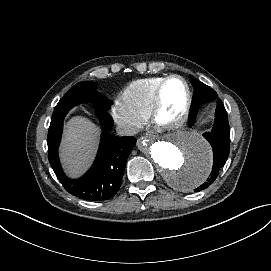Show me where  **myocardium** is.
<instances>
[{"mask_svg":"<svg viewBox=\"0 0 271 271\" xmlns=\"http://www.w3.org/2000/svg\"><path fill=\"white\" fill-rule=\"evenodd\" d=\"M174 79H178L182 81L187 90V98L183 105V107L174 115L168 116L165 113V104H164V92L168 83ZM193 106V91L191 88L190 83L187 81L186 78L179 74H171L167 76L158 86L154 93L153 98V109H152V120L159 126L165 128H178L183 125L192 110Z\"/></svg>","mask_w":271,"mask_h":271,"instance_id":"f54148a6","label":"myocardium"}]
</instances>
